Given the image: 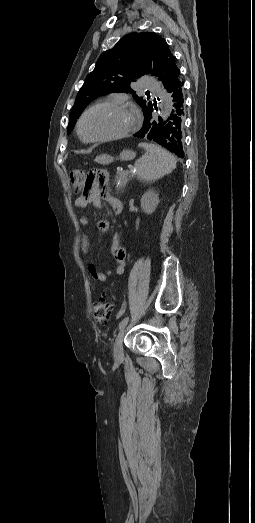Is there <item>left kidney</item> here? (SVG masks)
<instances>
[{
  "instance_id": "5707ae66",
  "label": "left kidney",
  "mask_w": 255,
  "mask_h": 523,
  "mask_svg": "<svg viewBox=\"0 0 255 523\" xmlns=\"http://www.w3.org/2000/svg\"><path fill=\"white\" fill-rule=\"evenodd\" d=\"M158 204L159 198L155 190H148V192L143 194L141 198V208L145 214H152V212H155Z\"/></svg>"
}]
</instances>
